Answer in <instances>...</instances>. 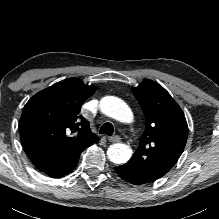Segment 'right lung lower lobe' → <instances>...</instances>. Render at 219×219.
Listing matches in <instances>:
<instances>
[{
	"instance_id": "right-lung-lower-lobe-1",
	"label": "right lung lower lobe",
	"mask_w": 219,
	"mask_h": 219,
	"mask_svg": "<svg viewBox=\"0 0 219 219\" xmlns=\"http://www.w3.org/2000/svg\"><path fill=\"white\" fill-rule=\"evenodd\" d=\"M78 160L79 157L76 158L75 160H71V162H69L66 165L42 170V172H44L46 175L52 178H61L64 177L65 175H68L75 169Z\"/></svg>"
}]
</instances>
